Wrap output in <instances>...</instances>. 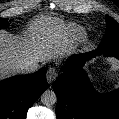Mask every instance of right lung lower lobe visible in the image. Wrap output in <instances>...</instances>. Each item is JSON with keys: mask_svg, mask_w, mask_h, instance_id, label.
<instances>
[{"mask_svg": "<svg viewBox=\"0 0 119 119\" xmlns=\"http://www.w3.org/2000/svg\"><path fill=\"white\" fill-rule=\"evenodd\" d=\"M45 67L0 81V119H26L29 107L46 90Z\"/></svg>", "mask_w": 119, "mask_h": 119, "instance_id": "98d812e1", "label": "right lung lower lobe"}]
</instances>
